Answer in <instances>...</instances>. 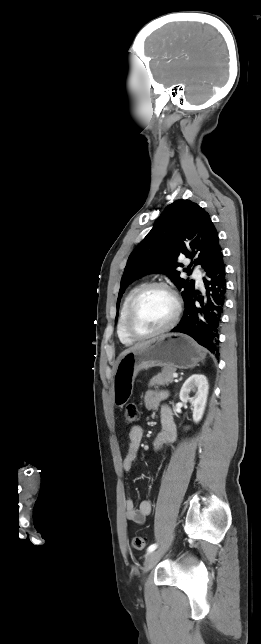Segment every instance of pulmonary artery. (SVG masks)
I'll return each instance as SVG.
<instances>
[{"label": "pulmonary artery", "mask_w": 261, "mask_h": 644, "mask_svg": "<svg viewBox=\"0 0 261 644\" xmlns=\"http://www.w3.org/2000/svg\"><path fill=\"white\" fill-rule=\"evenodd\" d=\"M194 277L196 278L197 284L199 286H202L203 285L202 275L198 270L194 271Z\"/></svg>", "instance_id": "obj_1"}]
</instances>
